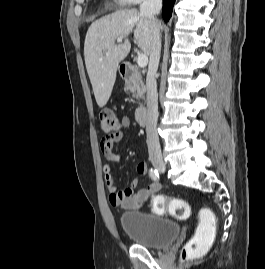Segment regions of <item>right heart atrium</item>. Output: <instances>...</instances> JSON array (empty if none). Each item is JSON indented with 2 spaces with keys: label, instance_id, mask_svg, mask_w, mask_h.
Returning <instances> with one entry per match:
<instances>
[{
  "label": "right heart atrium",
  "instance_id": "d8ad5b80",
  "mask_svg": "<svg viewBox=\"0 0 265 269\" xmlns=\"http://www.w3.org/2000/svg\"><path fill=\"white\" fill-rule=\"evenodd\" d=\"M124 5H138L144 0H117Z\"/></svg>",
  "mask_w": 265,
  "mask_h": 269
}]
</instances>
